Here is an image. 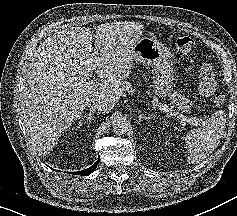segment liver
<instances>
[{"mask_svg":"<svg viewBox=\"0 0 237 216\" xmlns=\"http://www.w3.org/2000/svg\"><path fill=\"white\" fill-rule=\"evenodd\" d=\"M102 30L64 28L45 39L22 79V109L28 137L39 149H54L78 122L86 103L105 94L116 105L132 68L120 59L115 40L99 37ZM95 42L96 48L92 46ZM97 75L98 81H88Z\"/></svg>","mask_w":237,"mask_h":216,"instance_id":"6515ba94","label":"liver"}]
</instances>
